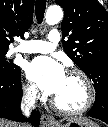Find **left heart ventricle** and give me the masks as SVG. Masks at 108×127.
<instances>
[{
    "label": "left heart ventricle",
    "mask_w": 108,
    "mask_h": 127,
    "mask_svg": "<svg viewBox=\"0 0 108 127\" xmlns=\"http://www.w3.org/2000/svg\"><path fill=\"white\" fill-rule=\"evenodd\" d=\"M56 101L65 108H78L85 100V90L79 78L66 75L65 80L54 95Z\"/></svg>",
    "instance_id": "1"
}]
</instances>
